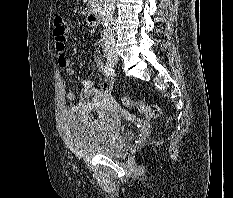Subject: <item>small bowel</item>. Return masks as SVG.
Here are the masks:
<instances>
[{
    "label": "small bowel",
    "mask_w": 233,
    "mask_h": 198,
    "mask_svg": "<svg viewBox=\"0 0 233 198\" xmlns=\"http://www.w3.org/2000/svg\"><path fill=\"white\" fill-rule=\"evenodd\" d=\"M54 39L58 65L65 70L68 76H73L75 70L71 64L69 57L65 54L66 36L64 38L54 37ZM94 64L96 68L104 74L102 87L99 89L92 81L88 79H83L81 81L82 90L79 94V101L73 104V106L71 107L73 111L85 112L92 109L105 107L113 102V79L110 75H107L104 72L105 65L100 57L97 56L94 58ZM75 98L76 96L73 92H68L66 94V99L68 101H74Z\"/></svg>",
    "instance_id": "1"
}]
</instances>
